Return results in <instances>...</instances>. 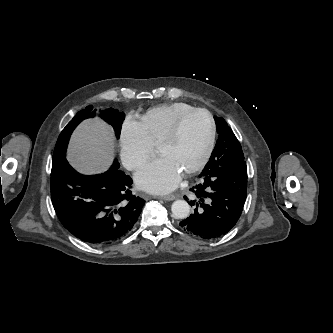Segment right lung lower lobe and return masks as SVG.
<instances>
[{
    "label": "right lung lower lobe",
    "mask_w": 333,
    "mask_h": 333,
    "mask_svg": "<svg viewBox=\"0 0 333 333\" xmlns=\"http://www.w3.org/2000/svg\"><path fill=\"white\" fill-rule=\"evenodd\" d=\"M114 160L108 171L82 175L65 156L53 160L51 199L62 225L76 238L109 245L126 236L136 223L145 200L132 194V179Z\"/></svg>",
    "instance_id": "obj_1"
}]
</instances>
